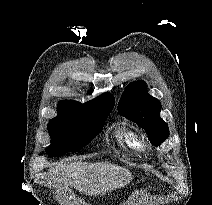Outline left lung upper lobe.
<instances>
[{"instance_id":"left-lung-upper-lobe-1","label":"left lung upper lobe","mask_w":212,"mask_h":205,"mask_svg":"<svg viewBox=\"0 0 212 205\" xmlns=\"http://www.w3.org/2000/svg\"><path fill=\"white\" fill-rule=\"evenodd\" d=\"M160 110L161 103L148 94L142 80L130 83L118 104V112L142 127L157 146L169 136L168 125L160 117Z\"/></svg>"}]
</instances>
